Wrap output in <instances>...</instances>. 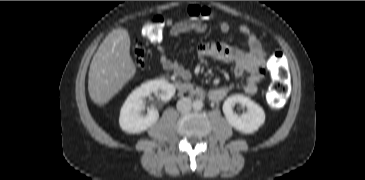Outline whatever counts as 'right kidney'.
I'll list each match as a JSON object with an SVG mask.
<instances>
[{"instance_id":"obj_1","label":"right kidney","mask_w":365,"mask_h":180,"mask_svg":"<svg viewBox=\"0 0 365 180\" xmlns=\"http://www.w3.org/2000/svg\"><path fill=\"white\" fill-rule=\"evenodd\" d=\"M152 93L167 102L174 96L175 87L165 79H155L136 88L128 96L120 111L119 124L123 131L141 133L157 122L159 113L155 108L148 109L145 116L141 115L144 109L143 100Z\"/></svg>"}]
</instances>
